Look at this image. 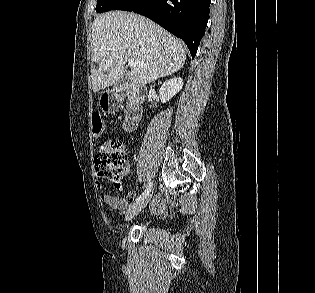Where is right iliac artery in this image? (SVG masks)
I'll return each mask as SVG.
<instances>
[{
  "mask_svg": "<svg viewBox=\"0 0 315 293\" xmlns=\"http://www.w3.org/2000/svg\"><path fill=\"white\" fill-rule=\"evenodd\" d=\"M152 186H153V183H152L151 179H148V184H147L145 191L136 199V202H138L141 199H143L144 197H146L151 192Z\"/></svg>",
  "mask_w": 315,
  "mask_h": 293,
  "instance_id": "82829eb1",
  "label": "right iliac artery"
}]
</instances>
